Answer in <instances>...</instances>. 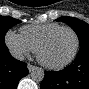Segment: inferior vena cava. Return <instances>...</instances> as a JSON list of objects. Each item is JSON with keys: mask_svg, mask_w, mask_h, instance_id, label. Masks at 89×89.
<instances>
[{"mask_svg": "<svg viewBox=\"0 0 89 89\" xmlns=\"http://www.w3.org/2000/svg\"><path fill=\"white\" fill-rule=\"evenodd\" d=\"M13 56L18 60H24V55L22 53H15Z\"/></svg>", "mask_w": 89, "mask_h": 89, "instance_id": "1", "label": "inferior vena cava"}]
</instances>
